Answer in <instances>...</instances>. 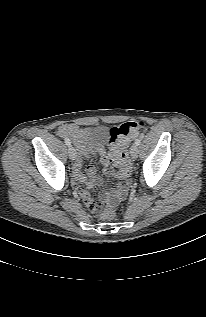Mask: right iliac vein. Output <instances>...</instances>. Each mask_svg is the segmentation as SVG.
Masks as SVG:
<instances>
[{
  "mask_svg": "<svg viewBox=\"0 0 206 317\" xmlns=\"http://www.w3.org/2000/svg\"><path fill=\"white\" fill-rule=\"evenodd\" d=\"M68 154H69V158L73 161L76 159V150L74 147L69 146L68 148Z\"/></svg>",
  "mask_w": 206,
  "mask_h": 317,
  "instance_id": "1",
  "label": "right iliac vein"
}]
</instances>
